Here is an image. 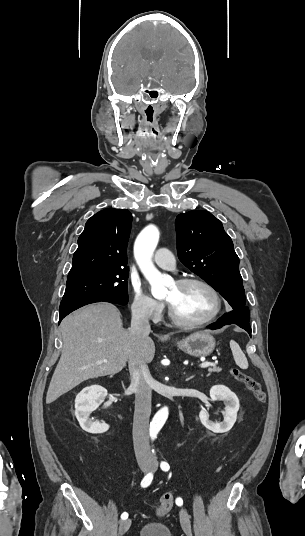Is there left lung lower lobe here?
<instances>
[{
	"mask_svg": "<svg viewBox=\"0 0 305 536\" xmlns=\"http://www.w3.org/2000/svg\"><path fill=\"white\" fill-rule=\"evenodd\" d=\"M227 324H236L239 327L246 330L251 336V326L249 323V309L248 307H243L240 309L233 310L226 315H224L218 323L212 324L209 326L211 329H218Z\"/></svg>",
	"mask_w": 305,
	"mask_h": 536,
	"instance_id": "0a47b994",
	"label": "left lung lower lobe"
}]
</instances>
